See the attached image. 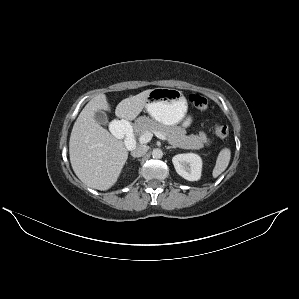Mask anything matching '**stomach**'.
<instances>
[{"label":"stomach","instance_id":"obj_1","mask_svg":"<svg viewBox=\"0 0 299 299\" xmlns=\"http://www.w3.org/2000/svg\"><path fill=\"white\" fill-rule=\"evenodd\" d=\"M148 114L164 125H176L186 116L188 104L183 93L173 88L152 89L145 105ZM190 124V119L184 121V126Z\"/></svg>","mask_w":299,"mask_h":299}]
</instances>
